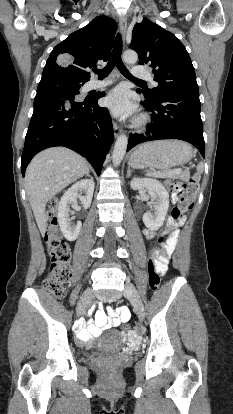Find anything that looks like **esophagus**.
I'll return each instance as SVG.
<instances>
[{
  "label": "esophagus",
  "instance_id": "obj_1",
  "mask_svg": "<svg viewBox=\"0 0 233 414\" xmlns=\"http://www.w3.org/2000/svg\"><path fill=\"white\" fill-rule=\"evenodd\" d=\"M119 27L123 40H125L127 31V19L124 15H121L119 18ZM113 131L115 137H118V135L121 133V128L116 122L113 123Z\"/></svg>",
  "mask_w": 233,
  "mask_h": 414
}]
</instances>
